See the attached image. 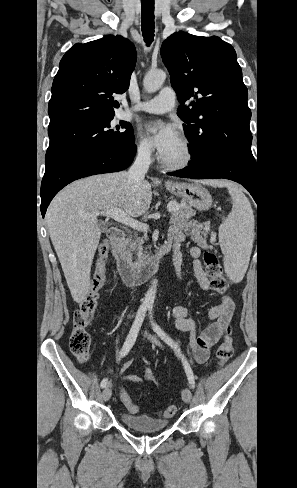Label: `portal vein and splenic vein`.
<instances>
[{
  "instance_id": "18ae733b",
  "label": "portal vein and splenic vein",
  "mask_w": 297,
  "mask_h": 488,
  "mask_svg": "<svg viewBox=\"0 0 297 488\" xmlns=\"http://www.w3.org/2000/svg\"><path fill=\"white\" fill-rule=\"evenodd\" d=\"M167 209H168V211H173V210H176L177 207L175 204L169 203L167 205ZM93 215L94 216L103 215V216L111 217L114 220H116L122 224H125L127 226H130L131 228L138 230V231L146 232L149 228V226L146 223H141V222L131 218L121 208H113V209L106 210V211L95 212V213H93Z\"/></svg>"
}]
</instances>
